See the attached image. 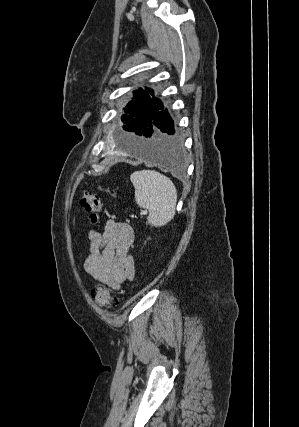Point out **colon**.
I'll return each instance as SVG.
<instances>
[{
    "mask_svg": "<svg viewBox=\"0 0 299 427\" xmlns=\"http://www.w3.org/2000/svg\"><path fill=\"white\" fill-rule=\"evenodd\" d=\"M80 205L89 214L90 221L96 223L102 211L100 196L93 191L87 190L80 198ZM93 298L100 307L112 308L116 304V299L111 295L110 290L103 284L96 287Z\"/></svg>",
    "mask_w": 299,
    "mask_h": 427,
    "instance_id": "5ec220e1",
    "label": "colon"
}]
</instances>
